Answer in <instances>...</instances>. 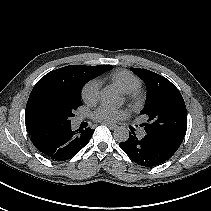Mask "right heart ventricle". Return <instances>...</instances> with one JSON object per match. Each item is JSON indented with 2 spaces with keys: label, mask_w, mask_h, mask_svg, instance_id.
<instances>
[{
  "label": "right heart ventricle",
  "mask_w": 211,
  "mask_h": 211,
  "mask_svg": "<svg viewBox=\"0 0 211 211\" xmlns=\"http://www.w3.org/2000/svg\"><path fill=\"white\" fill-rule=\"evenodd\" d=\"M109 79L126 94L134 93L141 88V81L126 70L114 72Z\"/></svg>",
  "instance_id": "obj_1"
}]
</instances>
